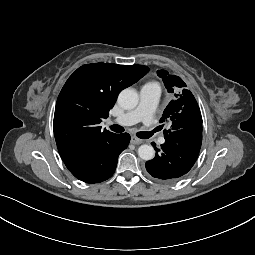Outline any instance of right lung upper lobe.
Returning <instances> with one entry per match:
<instances>
[{"label": "right lung upper lobe", "mask_w": 255, "mask_h": 255, "mask_svg": "<svg viewBox=\"0 0 255 255\" xmlns=\"http://www.w3.org/2000/svg\"><path fill=\"white\" fill-rule=\"evenodd\" d=\"M143 65L92 63L79 67L63 86L55 107L54 136L62 160L116 134L99 126L119 92L142 78Z\"/></svg>", "instance_id": "1"}]
</instances>
